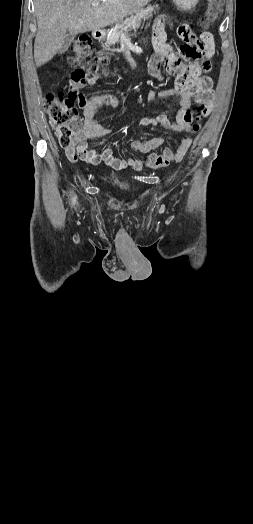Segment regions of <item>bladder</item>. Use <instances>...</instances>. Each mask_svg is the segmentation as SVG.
Listing matches in <instances>:
<instances>
[{"label": "bladder", "instance_id": "bladder-1", "mask_svg": "<svg viewBox=\"0 0 253 524\" xmlns=\"http://www.w3.org/2000/svg\"><path fill=\"white\" fill-rule=\"evenodd\" d=\"M122 188L128 189L130 186L125 182L116 181Z\"/></svg>", "mask_w": 253, "mask_h": 524}]
</instances>
